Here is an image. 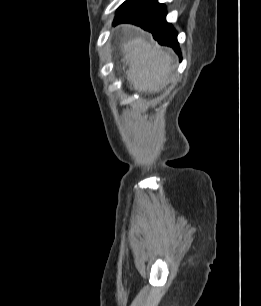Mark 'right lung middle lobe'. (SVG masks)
I'll list each match as a JSON object with an SVG mask.
<instances>
[{"instance_id": "right-lung-middle-lobe-1", "label": "right lung middle lobe", "mask_w": 261, "mask_h": 306, "mask_svg": "<svg viewBox=\"0 0 261 306\" xmlns=\"http://www.w3.org/2000/svg\"><path fill=\"white\" fill-rule=\"evenodd\" d=\"M132 0H127L126 2H124L120 7L119 9L123 8L124 6H126L127 4H129ZM118 9V10H119Z\"/></svg>"}]
</instances>
